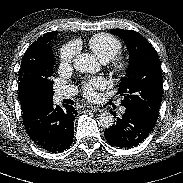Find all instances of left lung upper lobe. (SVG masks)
<instances>
[{"instance_id": "1", "label": "left lung upper lobe", "mask_w": 183, "mask_h": 183, "mask_svg": "<svg viewBox=\"0 0 183 183\" xmlns=\"http://www.w3.org/2000/svg\"><path fill=\"white\" fill-rule=\"evenodd\" d=\"M127 45L130 64L121 79L118 93L125 107L139 109L157 118L162 100V71L154 47L138 32L112 29Z\"/></svg>"}]
</instances>
